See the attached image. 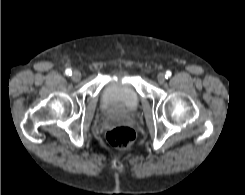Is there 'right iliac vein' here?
Instances as JSON below:
<instances>
[{
    "instance_id": "right-iliac-vein-1",
    "label": "right iliac vein",
    "mask_w": 245,
    "mask_h": 195,
    "mask_svg": "<svg viewBox=\"0 0 245 195\" xmlns=\"http://www.w3.org/2000/svg\"><path fill=\"white\" fill-rule=\"evenodd\" d=\"M81 79V73L79 71H74L72 74V80L79 81Z\"/></svg>"
}]
</instances>
